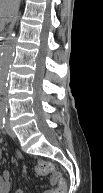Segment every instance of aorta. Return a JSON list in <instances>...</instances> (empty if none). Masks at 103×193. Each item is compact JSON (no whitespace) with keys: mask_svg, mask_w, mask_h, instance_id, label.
Masks as SVG:
<instances>
[{"mask_svg":"<svg viewBox=\"0 0 103 193\" xmlns=\"http://www.w3.org/2000/svg\"><path fill=\"white\" fill-rule=\"evenodd\" d=\"M15 42H16V34L13 31V28L11 27L0 55V90L3 94H5L7 88L9 69L15 51ZM1 108L3 111H5L6 109L5 98H2Z\"/></svg>","mask_w":103,"mask_h":193,"instance_id":"762f6f07","label":"aorta"}]
</instances>
